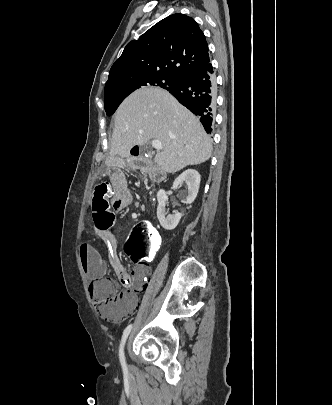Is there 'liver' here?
Segmentation results:
<instances>
[{
	"label": "liver",
	"instance_id": "liver-1",
	"mask_svg": "<svg viewBox=\"0 0 332 405\" xmlns=\"http://www.w3.org/2000/svg\"><path fill=\"white\" fill-rule=\"evenodd\" d=\"M150 140L161 141L163 149L154 162L167 173L201 164L212 152V140L199 119L159 88H142L118 107L108 163L123 162L133 146H143Z\"/></svg>",
	"mask_w": 332,
	"mask_h": 405
}]
</instances>
